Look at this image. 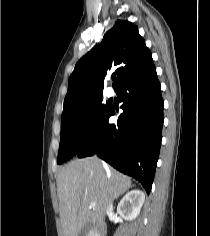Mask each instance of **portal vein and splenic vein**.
Segmentation results:
<instances>
[{"label":"portal vein and splenic vein","instance_id":"1","mask_svg":"<svg viewBox=\"0 0 210 236\" xmlns=\"http://www.w3.org/2000/svg\"><path fill=\"white\" fill-rule=\"evenodd\" d=\"M95 206H96L95 203H91V204H90V207H91V208H94Z\"/></svg>","mask_w":210,"mask_h":236}]
</instances>
